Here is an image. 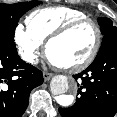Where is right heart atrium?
Segmentation results:
<instances>
[{"instance_id": "d8ad5b80", "label": "right heart atrium", "mask_w": 117, "mask_h": 117, "mask_svg": "<svg viewBox=\"0 0 117 117\" xmlns=\"http://www.w3.org/2000/svg\"><path fill=\"white\" fill-rule=\"evenodd\" d=\"M14 42L22 59L29 64H36L42 54V42L22 24L14 28Z\"/></svg>"}]
</instances>
